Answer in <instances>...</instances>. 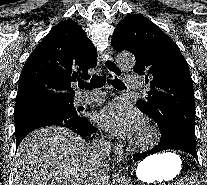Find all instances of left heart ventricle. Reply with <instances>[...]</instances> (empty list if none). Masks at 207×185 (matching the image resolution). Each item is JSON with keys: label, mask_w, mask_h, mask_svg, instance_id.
Segmentation results:
<instances>
[{"label": "left heart ventricle", "mask_w": 207, "mask_h": 185, "mask_svg": "<svg viewBox=\"0 0 207 185\" xmlns=\"http://www.w3.org/2000/svg\"><path fill=\"white\" fill-rule=\"evenodd\" d=\"M136 140H138L141 143H145L146 141H148L149 136L146 134V132L144 131V128H142V130L136 135V137H134Z\"/></svg>", "instance_id": "1"}]
</instances>
